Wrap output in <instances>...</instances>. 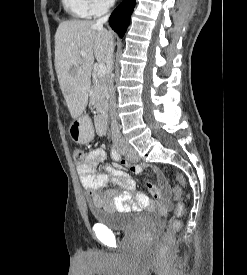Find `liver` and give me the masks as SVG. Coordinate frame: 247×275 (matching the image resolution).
<instances>
[{"label":"liver","instance_id":"liver-1","mask_svg":"<svg viewBox=\"0 0 247 275\" xmlns=\"http://www.w3.org/2000/svg\"><path fill=\"white\" fill-rule=\"evenodd\" d=\"M110 37V31L92 21H63L57 28L55 68L73 119L80 117L87 106L94 59L100 64L106 63ZM106 69L109 71L108 66Z\"/></svg>","mask_w":247,"mask_h":275}]
</instances>
